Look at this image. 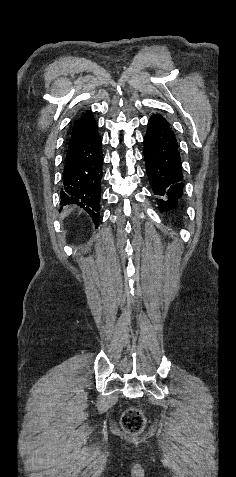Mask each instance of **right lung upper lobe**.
<instances>
[{
  "instance_id": "cb5924a9",
  "label": "right lung upper lobe",
  "mask_w": 236,
  "mask_h": 477,
  "mask_svg": "<svg viewBox=\"0 0 236 477\" xmlns=\"http://www.w3.org/2000/svg\"><path fill=\"white\" fill-rule=\"evenodd\" d=\"M87 113H88V112H86V113L84 114V116H85ZM81 119H82V118H79L78 120L75 121V123H77V122H78L79 120H81Z\"/></svg>"
}]
</instances>
